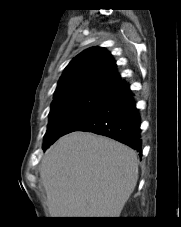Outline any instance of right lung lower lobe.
<instances>
[{"mask_svg":"<svg viewBox=\"0 0 181 227\" xmlns=\"http://www.w3.org/2000/svg\"><path fill=\"white\" fill-rule=\"evenodd\" d=\"M77 130L110 137L142 153L140 115L129 85L123 80L115 86L98 110L70 127L65 134ZM51 144L43 145V149Z\"/></svg>","mask_w":181,"mask_h":227,"instance_id":"obj_1","label":"right lung lower lobe"}]
</instances>
